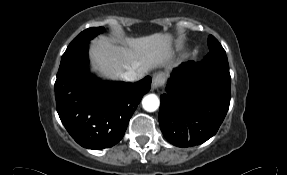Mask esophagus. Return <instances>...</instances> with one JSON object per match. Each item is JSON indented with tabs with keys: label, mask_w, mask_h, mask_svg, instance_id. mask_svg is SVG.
Masks as SVG:
<instances>
[{
	"label": "esophagus",
	"mask_w": 287,
	"mask_h": 175,
	"mask_svg": "<svg viewBox=\"0 0 287 175\" xmlns=\"http://www.w3.org/2000/svg\"><path fill=\"white\" fill-rule=\"evenodd\" d=\"M165 82V76L162 73L155 74L152 78L151 88L152 90H156L161 87Z\"/></svg>",
	"instance_id": "34e87169"
}]
</instances>
